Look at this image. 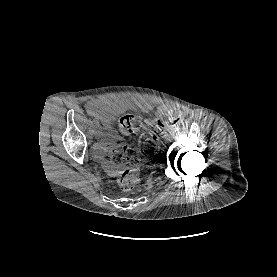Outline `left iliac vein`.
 <instances>
[{"label":"left iliac vein","mask_w":277,"mask_h":277,"mask_svg":"<svg viewBox=\"0 0 277 277\" xmlns=\"http://www.w3.org/2000/svg\"><path fill=\"white\" fill-rule=\"evenodd\" d=\"M173 138H175V133H174L173 131H171V132L169 133V135L166 137V140H167V141H170V140H172Z\"/></svg>","instance_id":"obj_1"}]
</instances>
